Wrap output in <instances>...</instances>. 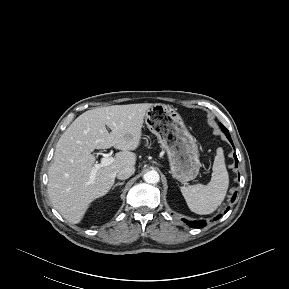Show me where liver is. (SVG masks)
Wrapping results in <instances>:
<instances>
[{
	"label": "liver",
	"instance_id": "1",
	"mask_svg": "<svg viewBox=\"0 0 289 289\" xmlns=\"http://www.w3.org/2000/svg\"><path fill=\"white\" fill-rule=\"evenodd\" d=\"M152 105H113L88 110L62 134L48 169L47 190L54 208L68 222L80 223L90 204L111 189L117 171L135 165L137 156L131 151L140 145L145 114ZM106 126L112 131L108 132ZM111 147L121 152L112 164L100 167L90 182L97 164L91 152Z\"/></svg>",
	"mask_w": 289,
	"mask_h": 289
}]
</instances>
